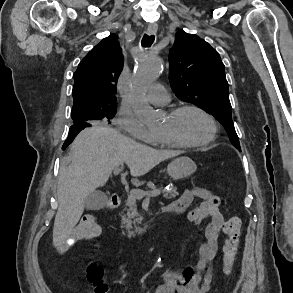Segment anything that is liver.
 <instances>
[{"instance_id":"obj_1","label":"liver","mask_w":293,"mask_h":293,"mask_svg":"<svg viewBox=\"0 0 293 293\" xmlns=\"http://www.w3.org/2000/svg\"><path fill=\"white\" fill-rule=\"evenodd\" d=\"M179 154L137 143L108 126L94 125L82 130L74 139L58 176L54 245L67 238L83 214L86 197L104 186L115 168L125 163L131 175L138 177Z\"/></svg>"}]
</instances>
